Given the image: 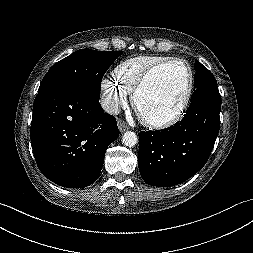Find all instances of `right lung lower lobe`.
<instances>
[{"label": "right lung lower lobe", "mask_w": 253, "mask_h": 253, "mask_svg": "<svg viewBox=\"0 0 253 253\" xmlns=\"http://www.w3.org/2000/svg\"><path fill=\"white\" fill-rule=\"evenodd\" d=\"M119 136L116 119L99 98L72 88L38 92L30 129L41 173L66 188H82L99 176L107 147Z\"/></svg>", "instance_id": "1"}]
</instances>
